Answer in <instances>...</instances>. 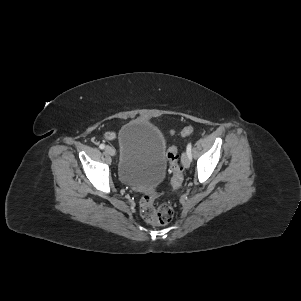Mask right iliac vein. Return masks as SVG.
Masks as SVG:
<instances>
[{
	"label": "right iliac vein",
	"mask_w": 301,
	"mask_h": 301,
	"mask_svg": "<svg viewBox=\"0 0 301 301\" xmlns=\"http://www.w3.org/2000/svg\"><path fill=\"white\" fill-rule=\"evenodd\" d=\"M105 152L107 154H109L110 156H115V154H116L115 149L111 146H106L105 147Z\"/></svg>",
	"instance_id": "right-iliac-vein-1"
}]
</instances>
